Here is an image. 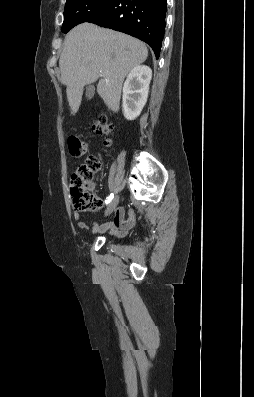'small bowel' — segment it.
<instances>
[{
  "mask_svg": "<svg viewBox=\"0 0 254 397\" xmlns=\"http://www.w3.org/2000/svg\"><path fill=\"white\" fill-rule=\"evenodd\" d=\"M92 188V186H91ZM100 205H103V202L100 201ZM74 218L78 221V226L82 229H87L88 225L84 221H80L79 213H74ZM136 222V217L133 211L129 212L127 218H125L124 210L119 207L115 210V217L112 222L105 223L103 225H94L92 228L93 233H104L108 232L111 235L122 236L124 233L129 230Z\"/></svg>",
  "mask_w": 254,
  "mask_h": 397,
  "instance_id": "c3829d8e",
  "label": "small bowel"
}]
</instances>
